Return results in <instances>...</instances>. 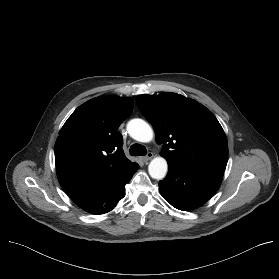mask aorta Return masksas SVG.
<instances>
[{"instance_id":"1","label":"aorta","mask_w":279,"mask_h":279,"mask_svg":"<svg viewBox=\"0 0 279 279\" xmlns=\"http://www.w3.org/2000/svg\"><path fill=\"white\" fill-rule=\"evenodd\" d=\"M129 135L136 141L147 143L153 139L154 133L150 125L142 119H132L127 124ZM168 170V164L165 158L155 157L148 166L149 175L153 179H163Z\"/></svg>"}]
</instances>
